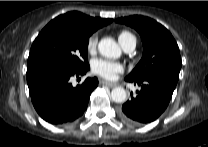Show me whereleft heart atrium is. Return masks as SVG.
Wrapping results in <instances>:
<instances>
[{
  "mask_svg": "<svg viewBox=\"0 0 208 147\" xmlns=\"http://www.w3.org/2000/svg\"><path fill=\"white\" fill-rule=\"evenodd\" d=\"M91 69L102 78L114 80L124 71V66L117 61L98 58L92 61Z\"/></svg>",
  "mask_w": 208,
  "mask_h": 147,
  "instance_id": "39dd6f15",
  "label": "left heart atrium"
}]
</instances>
